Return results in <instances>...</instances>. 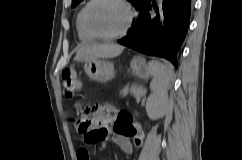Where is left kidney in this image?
Wrapping results in <instances>:
<instances>
[{
    "label": "left kidney",
    "instance_id": "left-kidney-1",
    "mask_svg": "<svg viewBox=\"0 0 242 160\" xmlns=\"http://www.w3.org/2000/svg\"><path fill=\"white\" fill-rule=\"evenodd\" d=\"M146 112L151 120H157L165 114V107L159 105L155 101H148L146 103Z\"/></svg>",
    "mask_w": 242,
    "mask_h": 160
}]
</instances>
